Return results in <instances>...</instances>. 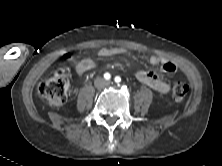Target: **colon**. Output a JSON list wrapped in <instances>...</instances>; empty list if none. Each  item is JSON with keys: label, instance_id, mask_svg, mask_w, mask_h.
I'll return each instance as SVG.
<instances>
[{"label": "colon", "instance_id": "5ec220e1", "mask_svg": "<svg viewBox=\"0 0 222 166\" xmlns=\"http://www.w3.org/2000/svg\"><path fill=\"white\" fill-rule=\"evenodd\" d=\"M69 80L63 70L55 71L50 77L40 82L38 92L53 107L62 106L67 100ZM188 86L180 81L172 85V96L176 101L184 99Z\"/></svg>", "mask_w": 222, "mask_h": 166}]
</instances>
